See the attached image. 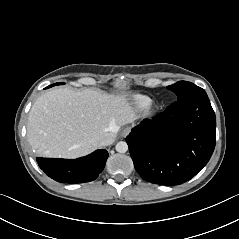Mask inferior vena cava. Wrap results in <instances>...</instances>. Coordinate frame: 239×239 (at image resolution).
I'll use <instances>...</instances> for the list:
<instances>
[{"mask_svg":"<svg viewBox=\"0 0 239 239\" xmlns=\"http://www.w3.org/2000/svg\"><path fill=\"white\" fill-rule=\"evenodd\" d=\"M113 142H114V138L109 135H104L99 140V144L101 146L111 145Z\"/></svg>","mask_w":239,"mask_h":239,"instance_id":"obj_1","label":"inferior vena cava"}]
</instances>
